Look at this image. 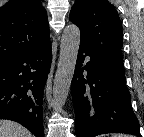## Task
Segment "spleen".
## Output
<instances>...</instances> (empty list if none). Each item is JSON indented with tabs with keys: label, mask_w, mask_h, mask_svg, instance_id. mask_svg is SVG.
Instances as JSON below:
<instances>
[{
	"label": "spleen",
	"mask_w": 144,
	"mask_h": 137,
	"mask_svg": "<svg viewBox=\"0 0 144 137\" xmlns=\"http://www.w3.org/2000/svg\"><path fill=\"white\" fill-rule=\"evenodd\" d=\"M112 137H129L123 134H113Z\"/></svg>",
	"instance_id": "1"
}]
</instances>
